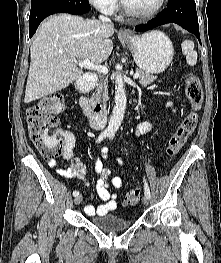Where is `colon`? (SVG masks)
<instances>
[{"mask_svg": "<svg viewBox=\"0 0 221 263\" xmlns=\"http://www.w3.org/2000/svg\"><path fill=\"white\" fill-rule=\"evenodd\" d=\"M185 92L190 110L169 141L167 147L169 157L176 155L185 145L198 123V113L203 102V90L199 78L194 74L187 75ZM63 109L64 96L61 93H51L39 99L27 110L30 139L42 156L49 160L58 158L64 150L63 132L58 127L57 117ZM140 198L141 191L139 189L131 190L126 195L125 204L136 205Z\"/></svg>", "mask_w": 221, "mask_h": 263, "instance_id": "obj_1", "label": "colon"}]
</instances>
